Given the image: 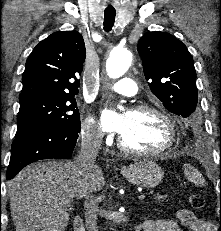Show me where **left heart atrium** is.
I'll return each instance as SVG.
<instances>
[{
  "instance_id": "39dd6f15",
  "label": "left heart atrium",
  "mask_w": 221,
  "mask_h": 231,
  "mask_svg": "<svg viewBox=\"0 0 221 231\" xmlns=\"http://www.w3.org/2000/svg\"><path fill=\"white\" fill-rule=\"evenodd\" d=\"M101 126L105 131L122 134L127 127L126 114H117L111 110H104L101 115Z\"/></svg>"
}]
</instances>
